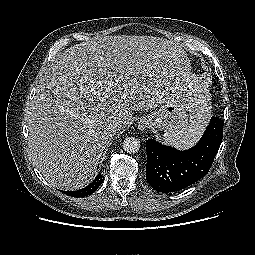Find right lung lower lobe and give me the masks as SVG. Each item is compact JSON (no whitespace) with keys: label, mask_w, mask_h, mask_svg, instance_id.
<instances>
[{"label":"right lung lower lobe","mask_w":255,"mask_h":255,"mask_svg":"<svg viewBox=\"0 0 255 255\" xmlns=\"http://www.w3.org/2000/svg\"><path fill=\"white\" fill-rule=\"evenodd\" d=\"M103 180H104V178L102 177V175L98 174V176L96 177L94 182L89 184L87 187L77 190V191H63V192L65 194L72 196V197H84V196H87V195L93 193L94 191H96V189L101 185Z\"/></svg>","instance_id":"1"}]
</instances>
